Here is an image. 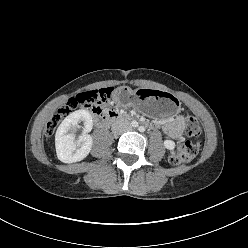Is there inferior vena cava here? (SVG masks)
<instances>
[{
  "instance_id": "obj_1",
  "label": "inferior vena cava",
  "mask_w": 248,
  "mask_h": 248,
  "mask_svg": "<svg viewBox=\"0 0 248 248\" xmlns=\"http://www.w3.org/2000/svg\"><path fill=\"white\" fill-rule=\"evenodd\" d=\"M130 129H131V126L129 125H123L120 129L118 128V126L114 125L112 128L114 133L123 132V131H127Z\"/></svg>"
}]
</instances>
